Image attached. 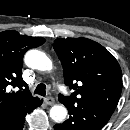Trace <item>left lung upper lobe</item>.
I'll list each match as a JSON object with an SVG mask.
<instances>
[{"instance_id":"1","label":"left lung upper lobe","mask_w":130,"mask_h":130,"mask_svg":"<svg viewBox=\"0 0 130 130\" xmlns=\"http://www.w3.org/2000/svg\"><path fill=\"white\" fill-rule=\"evenodd\" d=\"M53 48L62 63L65 84L75 90L59 99L94 104L112 114L122 90V72L115 57L86 38H59Z\"/></svg>"}]
</instances>
